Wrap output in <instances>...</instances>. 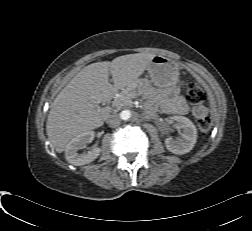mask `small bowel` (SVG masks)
Here are the masks:
<instances>
[{
    "label": "small bowel",
    "mask_w": 252,
    "mask_h": 231,
    "mask_svg": "<svg viewBox=\"0 0 252 231\" xmlns=\"http://www.w3.org/2000/svg\"><path fill=\"white\" fill-rule=\"evenodd\" d=\"M165 108L169 112L176 114H184L189 111L188 106L182 98H177L173 102L166 103ZM192 114L196 119H202L208 115V109L205 106H197L192 109Z\"/></svg>",
    "instance_id": "small-bowel-1"
}]
</instances>
